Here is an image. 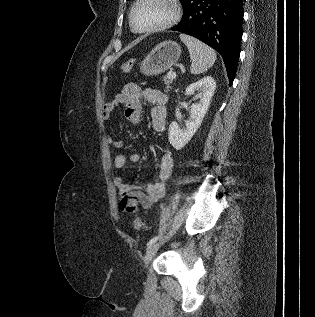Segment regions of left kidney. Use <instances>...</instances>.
I'll use <instances>...</instances> for the list:
<instances>
[{
	"mask_svg": "<svg viewBox=\"0 0 315 317\" xmlns=\"http://www.w3.org/2000/svg\"><path fill=\"white\" fill-rule=\"evenodd\" d=\"M215 89L216 82L211 76H206L186 88L187 95H193L195 92H198L200 101L192 104L189 111L190 117L186 121L184 129L181 130L176 122H172L169 126L168 139L176 150L183 148L200 127L210 106Z\"/></svg>",
	"mask_w": 315,
	"mask_h": 317,
	"instance_id": "5707ae66",
	"label": "left kidney"
}]
</instances>
